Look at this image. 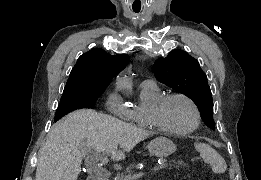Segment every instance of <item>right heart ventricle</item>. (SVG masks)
Listing matches in <instances>:
<instances>
[{
	"instance_id": "e07e8e85",
	"label": "right heart ventricle",
	"mask_w": 261,
	"mask_h": 180,
	"mask_svg": "<svg viewBox=\"0 0 261 180\" xmlns=\"http://www.w3.org/2000/svg\"><path fill=\"white\" fill-rule=\"evenodd\" d=\"M163 95L162 91L154 84L140 85L135 107L132 110H122L127 115L126 120L132 122V127H142L139 121L141 112L153 107ZM143 131L146 130L143 128Z\"/></svg>"
}]
</instances>
